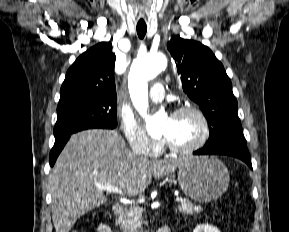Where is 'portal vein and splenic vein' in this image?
Here are the masks:
<instances>
[{
  "label": "portal vein and splenic vein",
  "mask_w": 289,
  "mask_h": 232,
  "mask_svg": "<svg viewBox=\"0 0 289 232\" xmlns=\"http://www.w3.org/2000/svg\"><path fill=\"white\" fill-rule=\"evenodd\" d=\"M95 186L104 190V191L110 192V193H116V194H120V195L124 194L122 189H120L116 186L109 185V184L96 183ZM175 201L180 202V203H188L185 198H181V197H176Z\"/></svg>",
  "instance_id": "1"
}]
</instances>
